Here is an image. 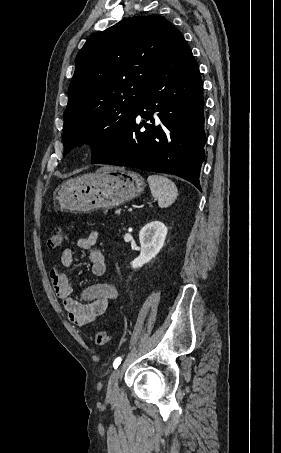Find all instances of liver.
I'll use <instances>...</instances> for the list:
<instances>
[{
  "label": "liver",
  "mask_w": 281,
  "mask_h": 453,
  "mask_svg": "<svg viewBox=\"0 0 281 453\" xmlns=\"http://www.w3.org/2000/svg\"><path fill=\"white\" fill-rule=\"evenodd\" d=\"M101 168H106V166H101Z\"/></svg>",
  "instance_id": "1"
}]
</instances>
